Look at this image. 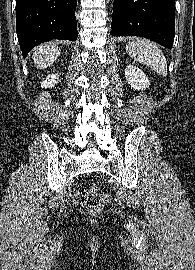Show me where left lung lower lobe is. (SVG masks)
Here are the masks:
<instances>
[{"label":"left lung lower lobe","mask_w":195,"mask_h":270,"mask_svg":"<svg viewBox=\"0 0 195 270\" xmlns=\"http://www.w3.org/2000/svg\"><path fill=\"white\" fill-rule=\"evenodd\" d=\"M110 34L140 36L171 49L175 37V0H114Z\"/></svg>","instance_id":"obj_1"}]
</instances>
